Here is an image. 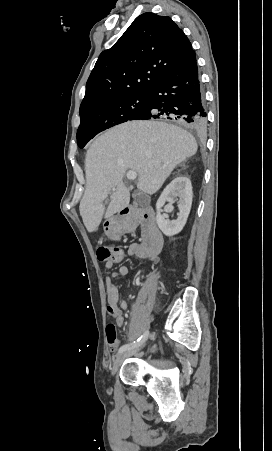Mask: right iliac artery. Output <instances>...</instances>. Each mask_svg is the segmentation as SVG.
Segmentation results:
<instances>
[{
  "mask_svg": "<svg viewBox=\"0 0 272 451\" xmlns=\"http://www.w3.org/2000/svg\"><path fill=\"white\" fill-rule=\"evenodd\" d=\"M148 336L149 332L148 331L144 332L143 335L137 339V341L121 346L118 353L121 354L129 349L139 347L148 338Z\"/></svg>",
  "mask_w": 272,
  "mask_h": 451,
  "instance_id": "right-iliac-artery-1",
  "label": "right iliac artery"
}]
</instances>
